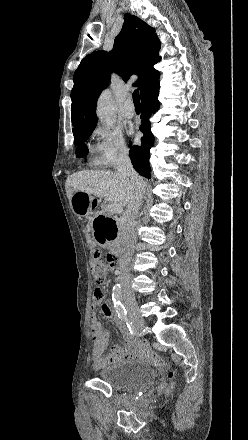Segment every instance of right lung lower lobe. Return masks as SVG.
I'll return each instance as SVG.
<instances>
[{"label": "right lung lower lobe", "instance_id": "1", "mask_svg": "<svg viewBox=\"0 0 248 440\" xmlns=\"http://www.w3.org/2000/svg\"><path fill=\"white\" fill-rule=\"evenodd\" d=\"M158 93L159 88H155L141 98V119L143 124L140 126V131L144 134L142 138V145L131 146V143L129 145L130 158L134 169L146 178L151 177L149 150L151 146H153L154 140V136L150 130L149 117L159 109L160 103L157 99Z\"/></svg>", "mask_w": 248, "mask_h": 440}]
</instances>
